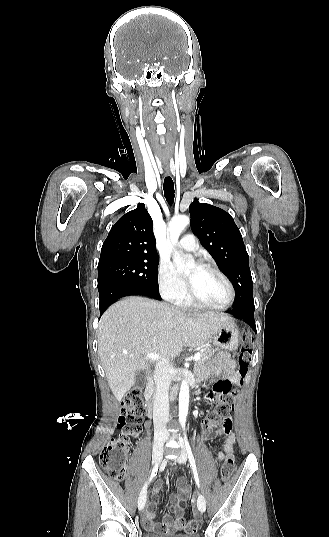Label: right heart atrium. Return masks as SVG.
<instances>
[{
  "instance_id": "1",
  "label": "right heart atrium",
  "mask_w": 329,
  "mask_h": 537,
  "mask_svg": "<svg viewBox=\"0 0 329 537\" xmlns=\"http://www.w3.org/2000/svg\"><path fill=\"white\" fill-rule=\"evenodd\" d=\"M161 295L171 302H179L187 296V285L170 262L161 261L157 276Z\"/></svg>"
}]
</instances>
